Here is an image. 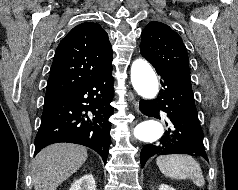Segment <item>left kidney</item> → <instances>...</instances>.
I'll return each mask as SVG.
<instances>
[{"label":"left kidney","mask_w":238,"mask_h":190,"mask_svg":"<svg viewBox=\"0 0 238 190\" xmlns=\"http://www.w3.org/2000/svg\"><path fill=\"white\" fill-rule=\"evenodd\" d=\"M159 190H176L173 187H170L169 185L166 184H161L159 187Z\"/></svg>","instance_id":"left-kidney-1"}]
</instances>
